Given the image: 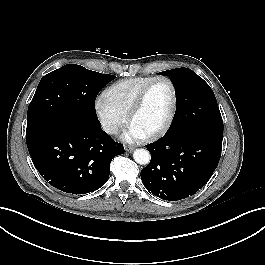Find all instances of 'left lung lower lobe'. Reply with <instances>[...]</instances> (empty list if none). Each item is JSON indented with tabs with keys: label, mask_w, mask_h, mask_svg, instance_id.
Returning <instances> with one entry per match:
<instances>
[{
	"label": "left lung lower lobe",
	"mask_w": 265,
	"mask_h": 265,
	"mask_svg": "<svg viewBox=\"0 0 265 265\" xmlns=\"http://www.w3.org/2000/svg\"><path fill=\"white\" fill-rule=\"evenodd\" d=\"M223 134L202 128L167 133L147 145L151 161L140 175L149 192L168 201L196 193L216 169Z\"/></svg>",
	"instance_id": "0a47b994"
}]
</instances>
